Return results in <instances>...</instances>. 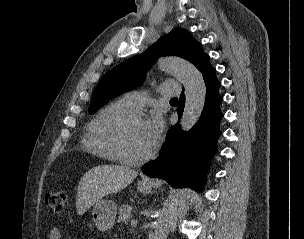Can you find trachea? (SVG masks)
Wrapping results in <instances>:
<instances>
[{"label":"trachea","mask_w":304,"mask_h":239,"mask_svg":"<svg viewBox=\"0 0 304 239\" xmlns=\"http://www.w3.org/2000/svg\"><path fill=\"white\" fill-rule=\"evenodd\" d=\"M170 101L176 102V101H178V99L177 98H172Z\"/></svg>","instance_id":"obj_1"}]
</instances>
